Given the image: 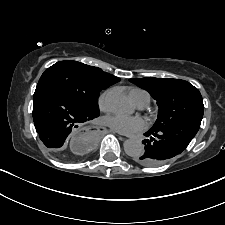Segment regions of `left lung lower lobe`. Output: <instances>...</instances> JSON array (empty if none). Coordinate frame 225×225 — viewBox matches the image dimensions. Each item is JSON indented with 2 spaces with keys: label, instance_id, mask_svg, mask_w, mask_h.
Here are the masks:
<instances>
[{
  "label": "left lung lower lobe",
  "instance_id": "obj_1",
  "mask_svg": "<svg viewBox=\"0 0 225 225\" xmlns=\"http://www.w3.org/2000/svg\"><path fill=\"white\" fill-rule=\"evenodd\" d=\"M199 122H185L161 131L150 129L142 142L145 150L135 160L146 166H159L182 153L194 138Z\"/></svg>",
  "mask_w": 225,
  "mask_h": 225
}]
</instances>
